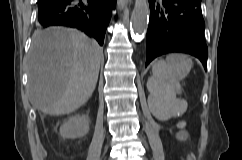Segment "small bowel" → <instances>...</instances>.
Here are the masks:
<instances>
[{
    "label": "small bowel",
    "instance_id": "small-bowel-1",
    "mask_svg": "<svg viewBox=\"0 0 242 160\" xmlns=\"http://www.w3.org/2000/svg\"><path fill=\"white\" fill-rule=\"evenodd\" d=\"M179 136H180L181 139H185L186 138V132L182 131Z\"/></svg>",
    "mask_w": 242,
    "mask_h": 160
}]
</instances>
